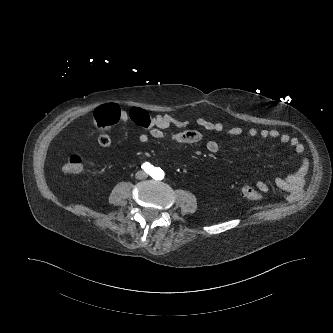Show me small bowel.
Returning a JSON list of instances; mask_svg holds the SVG:
<instances>
[{
  "mask_svg": "<svg viewBox=\"0 0 333 333\" xmlns=\"http://www.w3.org/2000/svg\"><path fill=\"white\" fill-rule=\"evenodd\" d=\"M119 119L122 122L132 121L137 124L141 129H147L139 135L138 139L141 143H147L152 139L161 140L166 139L179 144H195L201 141L202 133L191 127L198 125L207 132L216 134H228L231 136H241L244 133L250 138H273L277 139L284 144L292 147L294 152L299 158L300 167L298 172L291 177H280L276 180L277 185L288 190L289 198L298 194L304 185L305 173L309 166V160L304 155V145L297 137H292L287 133H283L277 129H256L250 127L247 130L238 123H231L225 125L222 122H211L205 118L199 117L195 120H181L170 114H157L150 116L144 109L133 107L129 112L121 111ZM170 127L180 129L177 132H168ZM97 142L101 146H109L111 144V135L107 131H102L97 137ZM206 149L212 153H218L221 149V139L214 138L206 143ZM255 187L262 193L268 191V184L265 181L258 180L255 182Z\"/></svg>",
  "mask_w": 333,
  "mask_h": 333,
  "instance_id": "1",
  "label": "small bowel"
}]
</instances>
